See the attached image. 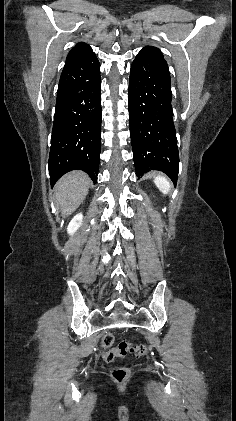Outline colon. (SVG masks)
<instances>
[{
	"label": "colon",
	"instance_id": "obj_1",
	"mask_svg": "<svg viewBox=\"0 0 236 421\" xmlns=\"http://www.w3.org/2000/svg\"><path fill=\"white\" fill-rule=\"evenodd\" d=\"M114 336L111 332H107L102 339L103 353L102 357L105 361H112L116 357L126 356L128 354H133L138 357L145 356L148 351V347L145 343L141 344H132L130 342H121L117 347L113 348ZM130 375V370L127 367L119 366L112 370L113 378L122 382L127 379Z\"/></svg>",
	"mask_w": 236,
	"mask_h": 421
}]
</instances>
